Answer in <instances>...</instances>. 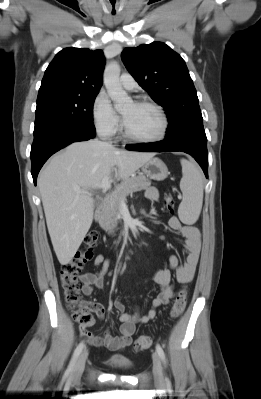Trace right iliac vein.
Masks as SVG:
<instances>
[{"label": "right iliac vein", "mask_w": 261, "mask_h": 399, "mask_svg": "<svg viewBox=\"0 0 261 399\" xmlns=\"http://www.w3.org/2000/svg\"><path fill=\"white\" fill-rule=\"evenodd\" d=\"M87 356H88V352H87V350H84L78 357L75 367H74V371H73L74 377H79L83 373Z\"/></svg>", "instance_id": "63e3f726"}]
</instances>
